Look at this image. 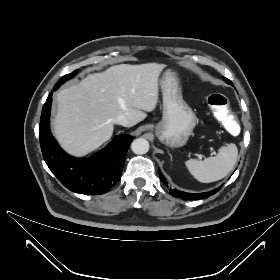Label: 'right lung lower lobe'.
I'll list each match as a JSON object with an SVG mask.
<instances>
[{
    "label": "right lung lower lobe",
    "instance_id": "98d812e1",
    "mask_svg": "<svg viewBox=\"0 0 280 280\" xmlns=\"http://www.w3.org/2000/svg\"><path fill=\"white\" fill-rule=\"evenodd\" d=\"M51 96H48L43 106L39 124L40 145L47 166L72 192L85 195L108 192L121 178L127 150L133 138L126 134L116 136L107 147L89 159L69 156L59 147L50 131Z\"/></svg>",
    "mask_w": 280,
    "mask_h": 280
}]
</instances>
